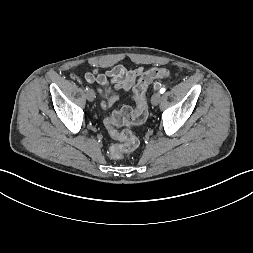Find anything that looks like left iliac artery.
Masks as SVG:
<instances>
[{
  "label": "left iliac artery",
  "instance_id": "obj_1",
  "mask_svg": "<svg viewBox=\"0 0 253 253\" xmlns=\"http://www.w3.org/2000/svg\"><path fill=\"white\" fill-rule=\"evenodd\" d=\"M165 92V88L160 89V93L163 94Z\"/></svg>",
  "mask_w": 253,
  "mask_h": 253
}]
</instances>
